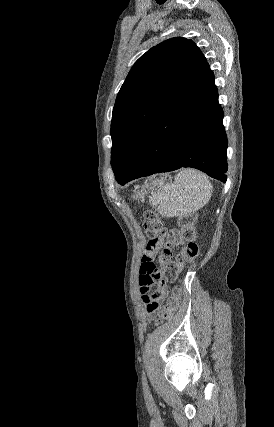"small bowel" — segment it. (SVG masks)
I'll list each match as a JSON object with an SVG mask.
<instances>
[{"mask_svg": "<svg viewBox=\"0 0 274 427\" xmlns=\"http://www.w3.org/2000/svg\"><path fill=\"white\" fill-rule=\"evenodd\" d=\"M143 249L145 252L142 255L141 265L139 268V293L144 306V313L151 320H154L156 318L154 306L160 305L167 293V286L165 283L171 284L173 282V278H177L179 276V271L177 270L178 263L176 261H165V269H160L158 264L149 263L153 261L152 254L155 257H158L161 254V251L152 245H146ZM165 254L168 257H172L175 255V251H165ZM149 273H154L155 275L152 277V281L149 279ZM153 285H156L157 292H153L151 290Z\"/></svg>", "mask_w": 274, "mask_h": 427, "instance_id": "1", "label": "small bowel"}]
</instances>
